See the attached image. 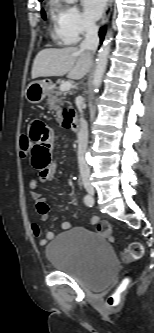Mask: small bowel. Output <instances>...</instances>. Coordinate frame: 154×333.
Listing matches in <instances>:
<instances>
[{"mask_svg":"<svg viewBox=\"0 0 154 333\" xmlns=\"http://www.w3.org/2000/svg\"><path fill=\"white\" fill-rule=\"evenodd\" d=\"M28 137L31 140V164L38 171V177L30 184V195L36 202V209L42 221H48L50 207L46 199L39 192V184L53 180L56 173L57 162L53 158L54 134L52 129L41 120H33L28 126ZM99 218L94 216L92 224L98 223ZM63 229H69L71 223L64 221L61 223ZM31 232L34 237L39 239L41 245H45L54 238V233L46 232L43 234L40 226L36 223L31 224Z\"/></svg>","mask_w":154,"mask_h":333,"instance_id":"1","label":"small bowel"}]
</instances>
